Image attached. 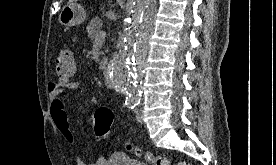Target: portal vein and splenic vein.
Masks as SVG:
<instances>
[{"label":"portal vein and splenic vein","mask_w":276,"mask_h":165,"mask_svg":"<svg viewBox=\"0 0 276 165\" xmlns=\"http://www.w3.org/2000/svg\"><path fill=\"white\" fill-rule=\"evenodd\" d=\"M105 37H106V33H105L104 31H101V32L97 35L96 40H97V41H98V40H103V39H105Z\"/></svg>","instance_id":"1"}]
</instances>
